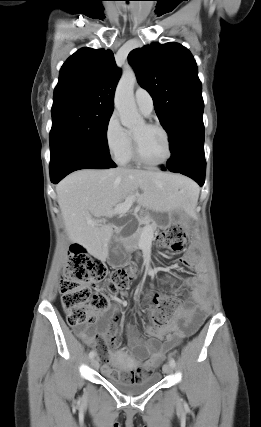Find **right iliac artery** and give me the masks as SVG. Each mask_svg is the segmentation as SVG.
<instances>
[{
  "mask_svg": "<svg viewBox=\"0 0 261 427\" xmlns=\"http://www.w3.org/2000/svg\"><path fill=\"white\" fill-rule=\"evenodd\" d=\"M94 356H95V352H94V351H91V352L89 353V358H90V359H92Z\"/></svg>",
  "mask_w": 261,
  "mask_h": 427,
  "instance_id": "obj_1",
  "label": "right iliac artery"
}]
</instances>
